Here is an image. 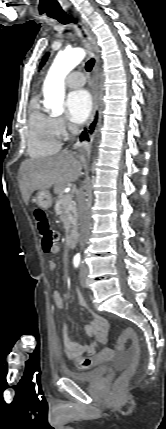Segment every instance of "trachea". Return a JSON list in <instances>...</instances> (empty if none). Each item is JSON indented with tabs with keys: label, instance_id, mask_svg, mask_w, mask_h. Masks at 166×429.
Masks as SVG:
<instances>
[{
	"label": "trachea",
	"instance_id": "3493384b",
	"mask_svg": "<svg viewBox=\"0 0 166 429\" xmlns=\"http://www.w3.org/2000/svg\"><path fill=\"white\" fill-rule=\"evenodd\" d=\"M49 16L53 19H56L61 24H68V23H75L77 24V21L70 17L65 12H58V13H50ZM80 27V26H79ZM81 28V27H80ZM83 32V31H82ZM95 60L94 58H91L86 62L85 69L87 72H90L94 66Z\"/></svg>",
	"mask_w": 166,
	"mask_h": 429
}]
</instances>
